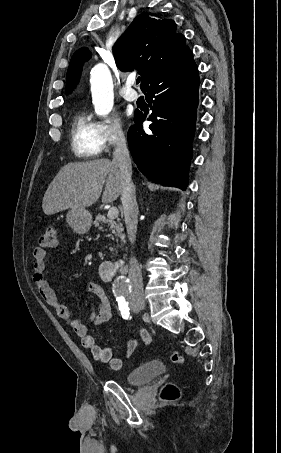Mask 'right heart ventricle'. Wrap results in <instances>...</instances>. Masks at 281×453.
<instances>
[{"label":"right heart ventricle","mask_w":281,"mask_h":453,"mask_svg":"<svg viewBox=\"0 0 281 453\" xmlns=\"http://www.w3.org/2000/svg\"><path fill=\"white\" fill-rule=\"evenodd\" d=\"M71 144L74 153L81 159L96 158L104 148L100 124L85 107L80 108L73 117Z\"/></svg>","instance_id":"obj_1"}]
</instances>
